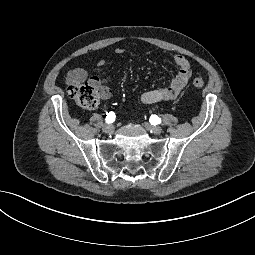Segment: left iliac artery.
<instances>
[{
	"instance_id": "44dca946",
	"label": "left iliac artery",
	"mask_w": 255,
	"mask_h": 255,
	"mask_svg": "<svg viewBox=\"0 0 255 255\" xmlns=\"http://www.w3.org/2000/svg\"><path fill=\"white\" fill-rule=\"evenodd\" d=\"M150 123L152 125L160 124L161 123V119L157 115H151Z\"/></svg>"
}]
</instances>
